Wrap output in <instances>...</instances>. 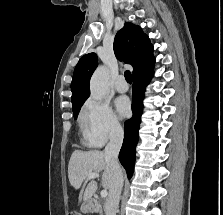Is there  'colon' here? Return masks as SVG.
<instances>
[{
	"label": "colon",
	"instance_id": "colon-1",
	"mask_svg": "<svg viewBox=\"0 0 223 215\" xmlns=\"http://www.w3.org/2000/svg\"><path fill=\"white\" fill-rule=\"evenodd\" d=\"M69 215H82V214L78 211H72L69 213Z\"/></svg>",
	"mask_w": 223,
	"mask_h": 215
}]
</instances>
